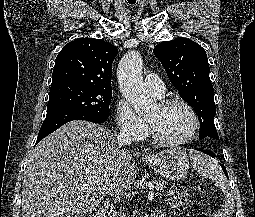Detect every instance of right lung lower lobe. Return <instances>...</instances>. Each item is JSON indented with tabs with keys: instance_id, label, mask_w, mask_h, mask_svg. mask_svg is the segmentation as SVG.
<instances>
[{
	"instance_id": "obj_1",
	"label": "right lung lower lobe",
	"mask_w": 255,
	"mask_h": 217,
	"mask_svg": "<svg viewBox=\"0 0 255 217\" xmlns=\"http://www.w3.org/2000/svg\"><path fill=\"white\" fill-rule=\"evenodd\" d=\"M72 120H86L94 123H103L106 119L85 111L70 109L67 107H55L49 109L47 110L46 118L40 128L35 145L44 137Z\"/></svg>"
}]
</instances>
